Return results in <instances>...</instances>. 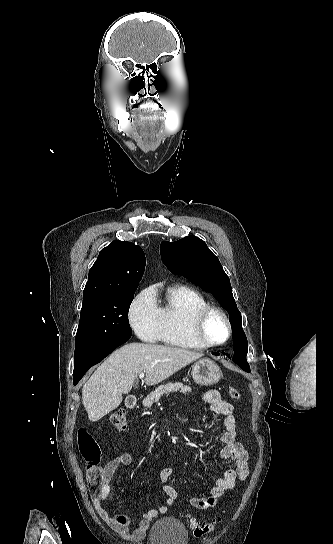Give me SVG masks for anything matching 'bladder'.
<instances>
[{"instance_id":"31cf9c89","label":"bladder","mask_w":333,"mask_h":544,"mask_svg":"<svg viewBox=\"0 0 333 544\" xmlns=\"http://www.w3.org/2000/svg\"><path fill=\"white\" fill-rule=\"evenodd\" d=\"M149 542L150 544H188V532L178 519L164 517L152 526Z\"/></svg>"}]
</instances>
